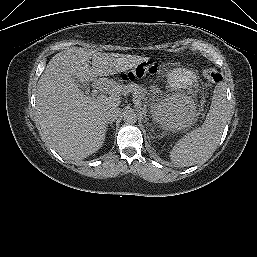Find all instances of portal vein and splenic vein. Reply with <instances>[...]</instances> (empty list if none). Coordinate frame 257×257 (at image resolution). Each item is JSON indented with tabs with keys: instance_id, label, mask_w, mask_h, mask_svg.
I'll return each instance as SVG.
<instances>
[{
	"instance_id": "1",
	"label": "portal vein and splenic vein",
	"mask_w": 257,
	"mask_h": 257,
	"mask_svg": "<svg viewBox=\"0 0 257 257\" xmlns=\"http://www.w3.org/2000/svg\"><path fill=\"white\" fill-rule=\"evenodd\" d=\"M104 97H105L104 95H101V96H99L97 99L103 100ZM134 103H135L137 106H139V101H138V100H134Z\"/></svg>"
}]
</instances>
